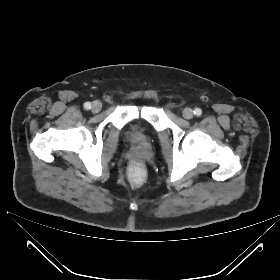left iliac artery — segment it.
Masks as SVG:
<instances>
[{"mask_svg":"<svg viewBox=\"0 0 280 280\" xmlns=\"http://www.w3.org/2000/svg\"><path fill=\"white\" fill-rule=\"evenodd\" d=\"M194 114L197 115V116H200V115L202 114L201 109H200V108H196V109L194 110Z\"/></svg>","mask_w":280,"mask_h":280,"instance_id":"obj_1","label":"left iliac artery"}]
</instances>
